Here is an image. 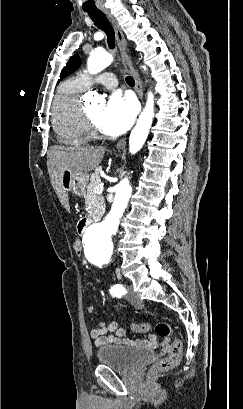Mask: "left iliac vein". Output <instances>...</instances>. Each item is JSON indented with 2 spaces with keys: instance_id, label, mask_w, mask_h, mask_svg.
<instances>
[{
  "instance_id": "1",
  "label": "left iliac vein",
  "mask_w": 243,
  "mask_h": 409,
  "mask_svg": "<svg viewBox=\"0 0 243 409\" xmlns=\"http://www.w3.org/2000/svg\"><path fill=\"white\" fill-rule=\"evenodd\" d=\"M129 300H130L131 304L134 305L135 307H142L143 306V302L138 296L130 295Z\"/></svg>"
}]
</instances>
